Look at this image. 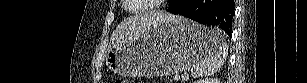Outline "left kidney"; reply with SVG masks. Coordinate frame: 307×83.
<instances>
[{
	"label": "left kidney",
	"instance_id": "1",
	"mask_svg": "<svg viewBox=\"0 0 307 83\" xmlns=\"http://www.w3.org/2000/svg\"><path fill=\"white\" fill-rule=\"evenodd\" d=\"M196 83H220V81L217 78H209L205 80L196 81Z\"/></svg>",
	"mask_w": 307,
	"mask_h": 83
}]
</instances>
